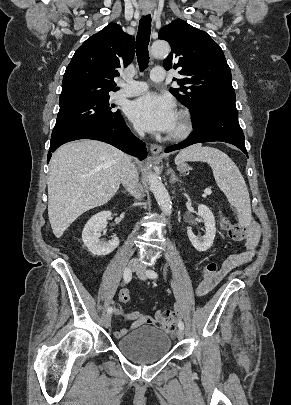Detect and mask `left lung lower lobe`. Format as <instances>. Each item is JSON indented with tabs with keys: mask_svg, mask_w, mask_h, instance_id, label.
<instances>
[{
	"mask_svg": "<svg viewBox=\"0 0 291 405\" xmlns=\"http://www.w3.org/2000/svg\"><path fill=\"white\" fill-rule=\"evenodd\" d=\"M193 125L196 129L194 134L181 143L168 147L164 152L183 149L196 143L222 141L235 145L248 156L235 104H213L206 110L205 118Z\"/></svg>",
	"mask_w": 291,
	"mask_h": 405,
	"instance_id": "0a47b994",
	"label": "left lung lower lobe"
}]
</instances>
